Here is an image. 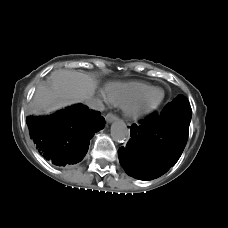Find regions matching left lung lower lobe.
Returning a JSON list of instances; mask_svg holds the SVG:
<instances>
[{
  "label": "left lung lower lobe",
  "mask_w": 228,
  "mask_h": 228,
  "mask_svg": "<svg viewBox=\"0 0 228 228\" xmlns=\"http://www.w3.org/2000/svg\"><path fill=\"white\" fill-rule=\"evenodd\" d=\"M191 112L164 108L159 116L131 126V139L118 150L124 170L140 180H151L167 172L186 145Z\"/></svg>",
  "instance_id": "0a47b994"
}]
</instances>
